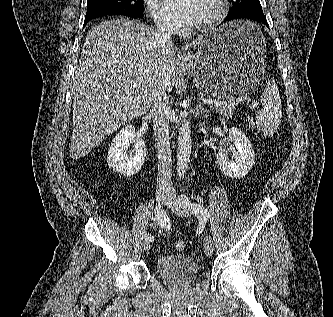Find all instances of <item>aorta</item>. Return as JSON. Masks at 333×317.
<instances>
[{"label":"aorta","instance_id":"1","mask_svg":"<svg viewBox=\"0 0 333 317\" xmlns=\"http://www.w3.org/2000/svg\"><path fill=\"white\" fill-rule=\"evenodd\" d=\"M186 117V116H185ZM191 130L189 122L184 119L179 129L178 152H177V176L186 174L191 155Z\"/></svg>","mask_w":333,"mask_h":317}]
</instances>
